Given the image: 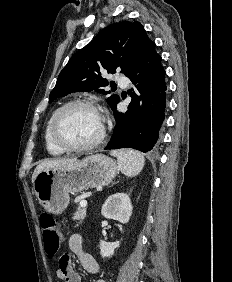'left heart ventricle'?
Segmentation results:
<instances>
[{"label": "left heart ventricle", "instance_id": "obj_1", "mask_svg": "<svg viewBox=\"0 0 232 282\" xmlns=\"http://www.w3.org/2000/svg\"><path fill=\"white\" fill-rule=\"evenodd\" d=\"M102 121L91 108L74 106L67 109L57 123V135L70 145H83L94 141L100 134Z\"/></svg>", "mask_w": 232, "mask_h": 282}]
</instances>
